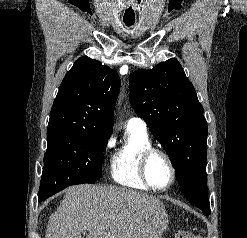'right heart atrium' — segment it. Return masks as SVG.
<instances>
[{
	"instance_id": "1",
	"label": "right heart atrium",
	"mask_w": 247,
	"mask_h": 238,
	"mask_svg": "<svg viewBox=\"0 0 247 238\" xmlns=\"http://www.w3.org/2000/svg\"><path fill=\"white\" fill-rule=\"evenodd\" d=\"M110 143V139H107L106 142H105V146H108Z\"/></svg>"
}]
</instances>
